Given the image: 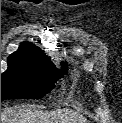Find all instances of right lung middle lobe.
<instances>
[{
    "mask_svg": "<svg viewBox=\"0 0 122 123\" xmlns=\"http://www.w3.org/2000/svg\"><path fill=\"white\" fill-rule=\"evenodd\" d=\"M8 69L1 75V101L7 99H39L53 88L66 71L7 62Z\"/></svg>",
    "mask_w": 122,
    "mask_h": 123,
    "instance_id": "right-lung-middle-lobe-1",
    "label": "right lung middle lobe"
}]
</instances>
